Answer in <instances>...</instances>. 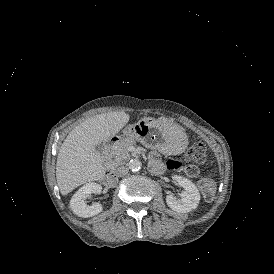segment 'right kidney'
Returning a JSON list of instances; mask_svg holds the SVG:
<instances>
[{
  "mask_svg": "<svg viewBox=\"0 0 274 274\" xmlns=\"http://www.w3.org/2000/svg\"><path fill=\"white\" fill-rule=\"evenodd\" d=\"M101 191L102 186L94 182L87 183L81 187L70 200V208L73 213L79 217L88 218L102 212V205L100 203H94L91 206H88L85 202V199L90 194H100Z\"/></svg>",
  "mask_w": 274,
  "mask_h": 274,
  "instance_id": "ca27d5eb",
  "label": "right kidney"
}]
</instances>
